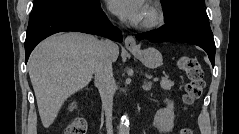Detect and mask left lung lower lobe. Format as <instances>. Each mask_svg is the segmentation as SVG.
Segmentation results:
<instances>
[{
	"label": "left lung lower lobe",
	"mask_w": 239,
	"mask_h": 134,
	"mask_svg": "<svg viewBox=\"0 0 239 134\" xmlns=\"http://www.w3.org/2000/svg\"><path fill=\"white\" fill-rule=\"evenodd\" d=\"M136 38L153 43L174 41L197 45L207 52L214 66L216 47L208 16L202 6H187L163 27L137 34Z\"/></svg>",
	"instance_id": "left-lung-lower-lobe-1"
}]
</instances>
